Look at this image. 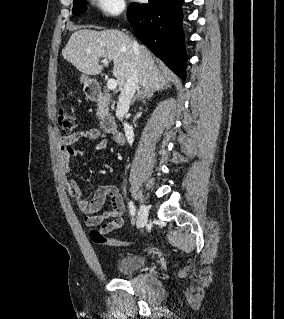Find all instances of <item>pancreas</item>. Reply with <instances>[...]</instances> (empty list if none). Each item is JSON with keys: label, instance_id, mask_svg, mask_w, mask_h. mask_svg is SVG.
Instances as JSON below:
<instances>
[{"label": "pancreas", "instance_id": "cf45deb5", "mask_svg": "<svg viewBox=\"0 0 284 319\" xmlns=\"http://www.w3.org/2000/svg\"><path fill=\"white\" fill-rule=\"evenodd\" d=\"M107 111H108L107 107H104V109H102L101 105H99L98 108H97L96 116L98 118H102L104 113H107Z\"/></svg>", "mask_w": 284, "mask_h": 319}]
</instances>
